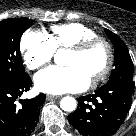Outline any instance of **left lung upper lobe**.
<instances>
[{
	"mask_svg": "<svg viewBox=\"0 0 136 136\" xmlns=\"http://www.w3.org/2000/svg\"><path fill=\"white\" fill-rule=\"evenodd\" d=\"M115 49V69L109 77L108 82L118 80H133V62L124 42L115 33L105 29ZM107 82V83H108Z\"/></svg>",
	"mask_w": 136,
	"mask_h": 136,
	"instance_id": "1",
	"label": "left lung upper lobe"
}]
</instances>
